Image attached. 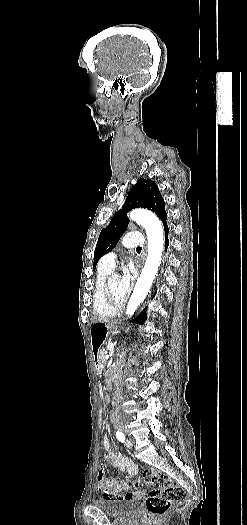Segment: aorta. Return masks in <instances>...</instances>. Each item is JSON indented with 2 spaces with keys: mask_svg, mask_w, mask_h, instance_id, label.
I'll use <instances>...</instances> for the list:
<instances>
[{
  "mask_svg": "<svg viewBox=\"0 0 247 525\" xmlns=\"http://www.w3.org/2000/svg\"><path fill=\"white\" fill-rule=\"evenodd\" d=\"M129 217L145 228L148 238V256L126 309V314L131 316L145 299L158 272L164 246V233L159 219L148 210L135 209L130 212Z\"/></svg>",
  "mask_w": 247,
  "mask_h": 525,
  "instance_id": "obj_1",
  "label": "aorta"
}]
</instances>
